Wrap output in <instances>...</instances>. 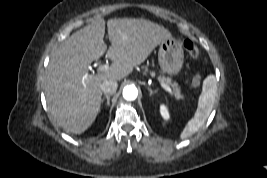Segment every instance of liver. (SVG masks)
Listing matches in <instances>:
<instances>
[{"instance_id": "6515ba94", "label": "liver", "mask_w": 267, "mask_h": 178, "mask_svg": "<svg viewBox=\"0 0 267 178\" xmlns=\"http://www.w3.org/2000/svg\"><path fill=\"white\" fill-rule=\"evenodd\" d=\"M105 24L111 46L104 42ZM171 33L145 19L96 18L68 37L52 54L44 81L48 110L67 133L81 134L100 110L101 85L121 80L143 63ZM112 61L107 71L89 74V66L106 52Z\"/></svg>"}]
</instances>
